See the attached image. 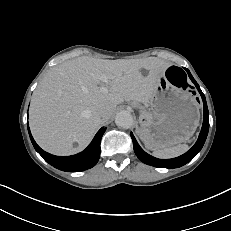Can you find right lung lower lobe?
Listing matches in <instances>:
<instances>
[{
    "label": "right lung lower lobe",
    "instance_id": "1",
    "mask_svg": "<svg viewBox=\"0 0 231 231\" xmlns=\"http://www.w3.org/2000/svg\"><path fill=\"white\" fill-rule=\"evenodd\" d=\"M105 130L106 128L102 127L97 132V134L95 135L89 146L81 153L72 156L62 157V156H55L43 151L34 141L28 126L30 139L35 150L50 165H53L55 168L66 172L84 171L92 168L98 162L100 157V142Z\"/></svg>",
    "mask_w": 231,
    "mask_h": 231
}]
</instances>
